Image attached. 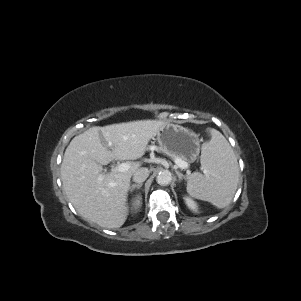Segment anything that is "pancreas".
<instances>
[{
	"mask_svg": "<svg viewBox=\"0 0 301 301\" xmlns=\"http://www.w3.org/2000/svg\"><path fill=\"white\" fill-rule=\"evenodd\" d=\"M175 159H181L182 161H185V160H183L182 158H180V157H174ZM186 162V161H185ZM187 163V162H186Z\"/></svg>",
	"mask_w": 301,
	"mask_h": 301,
	"instance_id": "obj_1",
	"label": "pancreas"
}]
</instances>
